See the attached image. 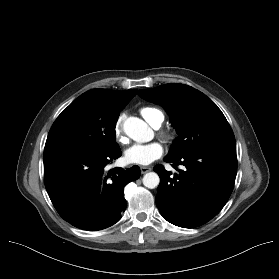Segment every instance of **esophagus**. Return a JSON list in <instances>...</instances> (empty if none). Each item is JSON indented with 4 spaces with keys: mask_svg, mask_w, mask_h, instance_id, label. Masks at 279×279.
<instances>
[{
    "mask_svg": "<svg viewBox=\"0 0 279 279\" xmlns=\"http://www.w3.org/2000/svg\"><path fill=\"white\" fill-rule=\"evenodd\" d=\"M140 170H141V173H142V174H145V173L151 171L152 168H151V167H146V166H141V167H140Z\"/></svg>",
    "mask_w": 279,
    "mask_h": 279,
    "instance_id": "esophagus-1",
    "label": "esophagus"
}]
</instances>
